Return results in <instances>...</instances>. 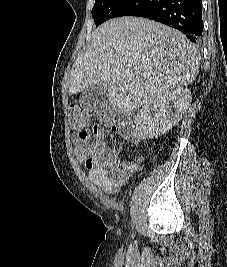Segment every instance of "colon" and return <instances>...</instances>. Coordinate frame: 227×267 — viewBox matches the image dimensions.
<instances>
[{"label":"colon","mask_w":227,"mask_h":267,"mask_svg":"<svg viewBox=\"0 0 227 267\" xmlns=\"http://www.w3.org/2000/svg\"><path fill=\"white\" fill-rule=\"evenodd\" d=\"M99 121L106 127H113L116 123L115 113L111 107H104L97 111ZM70 119L72 125L77 129H84L89 126L90 115L78 105L70 107ZM123 133L128 134V126L122 123Z\"/></svg>","instance_id":"1"}]
</instances>
